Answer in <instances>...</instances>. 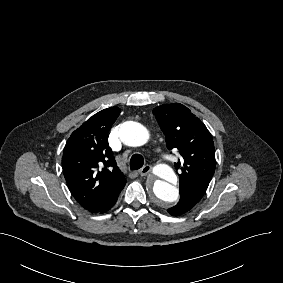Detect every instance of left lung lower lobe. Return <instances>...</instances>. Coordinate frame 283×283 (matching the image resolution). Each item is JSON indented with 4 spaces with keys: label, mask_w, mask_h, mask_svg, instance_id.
<instances>
[{
    "label": "left lung lower lobe",
    "mask_w": 283,
    "mask_h": 283,
    "mask_svg": "<svg viewBox=\"0 0 283 283\" xmlns=\"http://www.w3.org/2000/svg\"><path fill=\"white\" fill-rule=\"evenodd\" d=\"M202 197L203 195L189 190L181 191L179 203L174 207L169 208L167 211L173 216L182 215L192 209Z\"/></svg>",
    "instance_id": "left-lung-lower-lobe-1"
}]
</instances>
